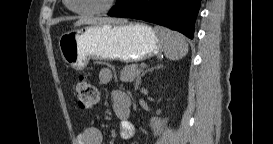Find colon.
<instances>
[{"mask_svg":"<svg viewBox=\"0 0 273 144\" xmlns=\"http://www.w3.org/2000/svg\"><path fill=\"white\" fill-rule=\"evenodd\" d=\"M77 107L81 111H88L98 100V90L95 84L87 77L81 76L75 85Z\"/></svg>","mask_w":273,"mask_h":144,"instance_id":"obj_1","label":"colon"}]
</instances>
